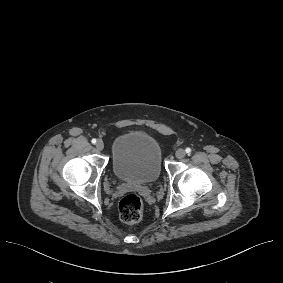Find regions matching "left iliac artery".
<instances>
[{"label":"left iliac artery","instance_id":"44dca946","mask_svg":"<svg viewBox=\"0 0 283 283\" xmlns=\"http://www.w3.org/2000/svg\"><path fill=\"white\" fill-rule=\"evenodd\" d=\"M185 151H186L187 154H190V153H191V149H190V148H186Z\"/></svg>","mask_w":283,"mask_h":283}]
</instances>
